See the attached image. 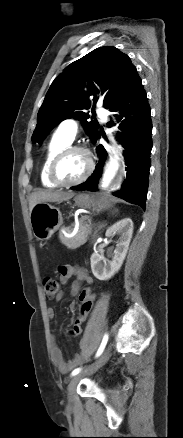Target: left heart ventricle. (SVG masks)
Masks as SVG:
<instances>
[{"mask_svg": "<svg viewBox=\"0 0 183 438\" xmlns=\"http://www.w3.org/2000/svg\"><path fill=\"white\" fill-rule=\"evenodd\" d=\"M87 166L86 157L80 152H73L64 157L57 168V177L63 182H72L80 178Z\"/></svg>", "mask_w": 183, "mask_h": 438, "instance_id": "left-heart-ventricle-1", "label": "left heart ventricle"}]
</instances>
